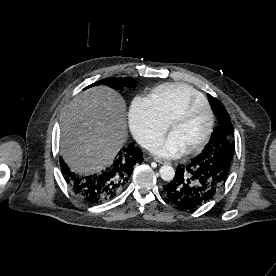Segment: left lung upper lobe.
I'll return each instance as SVG.
<instances>
[{"label":"left lung upper lobe","instance_id":"5c2ea615","mask_svg":"<svg viewBox=\"0 0 276 276\" xmlns=\"http://www.w3.org/2000/svg\"><path fill=\"white\" fill-rule=\"evenodd\" d=\"M209 101L217 116L219 126L214 128L212 139L201 155L208 159L217 174H220L222 181L219 187L221 188L225 184L233 160L235 143L231 142L230 137L234 135V128L224 105L214 97H209Z\"/></svg>","mask_w":276,"mask_h":276}]
</instances>
